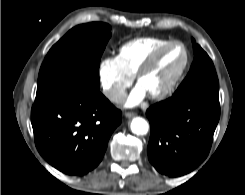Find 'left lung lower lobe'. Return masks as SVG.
<instances>
[{
  "label": "left lung lower lobe",
  "instance_id": "obj_1",
  "mask_svg": "<svg viewBox=\"0 0 245 195\" xmlns=\"http://www.w3.org/2000/svg\"><path fill=\"white\" fill-rule=\"evenodd\" d=\"M146 115L151 135V164L170 177L185 175L207 157L220 118L219 101L171 97L151 106Z\"/></svg>",
  "mask_w": 245,
  "mask_h": 195
}]
</instances>
